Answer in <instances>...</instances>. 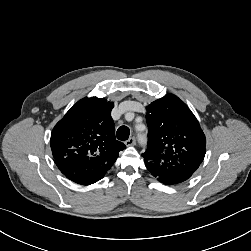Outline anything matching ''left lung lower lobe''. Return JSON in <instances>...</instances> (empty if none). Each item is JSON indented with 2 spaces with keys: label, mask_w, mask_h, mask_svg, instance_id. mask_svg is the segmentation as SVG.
<instances>
[{
  "label": "left lung lower lobe",
  "mask_w": 251,
  "mask_h": 251,
  "mask_svg": "<svg viewBox=\"0 0 251 251\" xmlns=\"http://www.w3.org/2000/svg\"><path fill=\"white\" fill-rule=\"evenodd\" d=\"M144 162L148 171L164 184L181 183L196 171L199 165L188 162L186 164L178 163L177 161H167L161 159L160 156L144 153Z\"/></svg>",
  "instance_id": "1"
}]
</instances>
